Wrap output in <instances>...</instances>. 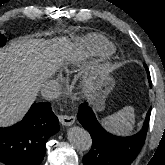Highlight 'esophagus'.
<instances>
[{"mask_svg":"<svg viewBox=\"0 0 165 165\" xmlns=\"http://www.w3.org/2000/svg\"><path fill=\"white\" fill-rule=\"evenodd\" d=\"M59 121L62 125L71 126L75 122V116H73V115H60Z\"/></svg>","mask_w":165,"mask_h":165,"instance_id":"obj_1","label":"esophagus"}]
</instances>
